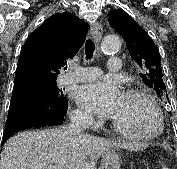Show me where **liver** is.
<instances>
[{
  "mask_svg": "<svg viewBox=\"0 0 177 169\" xmlns=\"http://www.w3.org/2000/svg\"><path fill=\"white\" fill-rule=\"evenodd\" d=\"M111 148L132 146L74 134L68 128L26 131L5 143L0 169H96L97 160Z\"/></svg>",
  "mask_w": 177,
  "mask_h": 169,
  "instance_id": "liver-1",
  "label": "liver"
}]
</instances>
